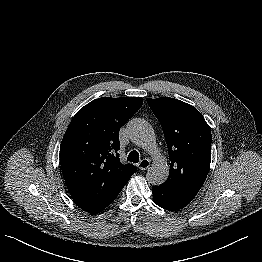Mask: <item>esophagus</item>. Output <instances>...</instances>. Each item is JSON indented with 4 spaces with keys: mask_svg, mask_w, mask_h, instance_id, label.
<instances>
[{
    "mask_svg": "<svg viewBox=\"0 0 262 262\" xmlns=\"http://www.w3.org/2000/svg\"><path fill=\"white\" fill-rule=\"evenodd\" d=\"M137 167L141 170H147L150 167V161L148 159H143L137 164Z\"/></svg>",
    "mask_w": 262,
    "mask_h": 262,
    "instance_id": "esophagus-1",
    "label": "esophagus"
}]
</instances>
